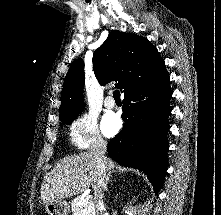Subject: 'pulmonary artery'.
<instances>
[{
    "label": "pulmonary artery",
    "mask_w": 221,
    "mask_h": 215,
    "mask_svg": "<svg viewBox=\"0 0 221 215\" xmlns=\"http://www.w3.org/2000/svg\"><path fill=\"white\" fill-rule=\"evenodd\" d=\"M104 105L107 109H113L115 107V102L112 97H107L105 99Z\"/></svg>",
    "instance_id": "pulmonary-artery-1"
}]
</instances>
